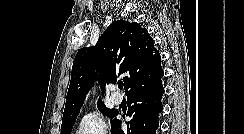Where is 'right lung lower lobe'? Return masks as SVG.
<instances>
[{
	"label": "right lung lower lobe",
	"mask_w": 244,
	"mask_h": 134,
	"mask_svg": "<svg viewBox=\"0 0 244 134\" xmlns=\"http://www.w3.org/2000/svg\"><path fill=\"white\" fill-rule=\"evenodd\" d=\"M162 77L139 86L127 93L129 110L127 129H122L121 121L115 118L111 122V134H156L159 126L158 116L163 110L161 102L164 94ZM118 114V113H117Z\"/></svg>",
	"instance_id": "obj_1"
}]
</instances>
